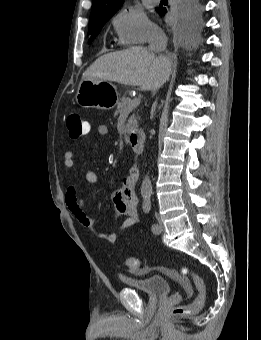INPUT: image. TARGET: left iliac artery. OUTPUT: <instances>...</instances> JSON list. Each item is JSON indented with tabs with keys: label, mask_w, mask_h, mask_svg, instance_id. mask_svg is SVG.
Masks as SVG:
<instances>
[{
	"label": "left iliac artery",
	"mask_w": 261,
	"mask_h": 340,
	"mask_svg": "<svg viewBox=\"0 0 261 340\" xmlns=\"http://www.w3.org/2000/svg\"><path fill=\"white\" fill-rule=\"evenodd\" d=\"M150 210H151L150 195H148V196L146 195L144 203H143V211L145 213H149ZM151 229H152L153 232L157 231L158 230V224H156V223L152 224Z\"/></svg>",
	"instance_id": "1"
}]
</instances>
